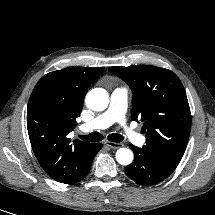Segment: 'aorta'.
<instances>
[{"instance_id": "1", "label": "aorta", "mask_w": 215, "mask_h": 215, "mask_svg": "<svg viewBox=\"0 0 215 215\" xmlns=\"http://www.w3.org/2000/svg\"><path fill=\"white\" fill-rule=\"evenodd\" d=\"M109 103L108 94L104 89L95 88L86 95L87 106L94 111H103ZM116 160L121 165H129L133 160V153L128 148H120L116 152Z\"/></svg>"}]
</instances>
